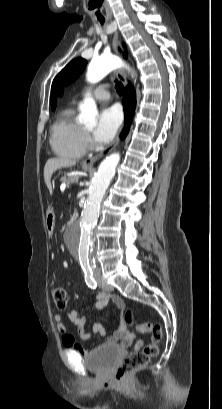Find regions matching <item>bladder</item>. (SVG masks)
I'll return each instance as SVG.
<instances>
[{"instance_id": "1", "label": "bladder", "mask_w": 222, "mask_h": 409, "mask_svg": "<svg viewBox=\"0 0 222 409\" xmlns=\"http://www.w3.org/2000/svg\"><path fill=\"white\" fill-rule=\"evenodd\" d=\"M121 350L117 345H102L93 349L84 358L86 367L97 374H109L119 359Z\"/></svg>"}]
</instances>
